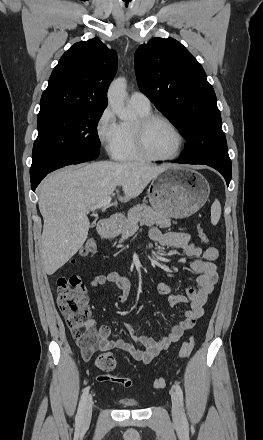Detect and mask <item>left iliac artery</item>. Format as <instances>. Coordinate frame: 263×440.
Wrapping results in <instances>:
<instances>
[{
	"label": "left iliac artery",
	"instance_id": "1",
	"mask_svg": "<svg viewBox=\"0 0 263 440\" xmlns=\"http://www.w3.org/2000/svg\"><path fill=\"white\" fill-rule=\"evenodd\" d=\"M174 388H175L176 394L180 400L181 406L183 407V391L178 383H175ZM182 421L185 424L187 423V419H186L184 412L182 413Z\"/></svg>",
	"mask_w": 263,
	"mask_h": 440
}]
</instances>
